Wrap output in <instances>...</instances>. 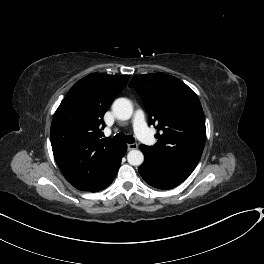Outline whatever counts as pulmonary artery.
<instances>
[{
  "instance_id": "pulmonary-artery-1",
  "label": "pulmonary artery",
  "mask_w": 264,
  "mask_h": 264,
  "mask_svg": "<svg viewBox=\"0 0 264 264\" xmlns=\"http://www.w3.org/2000/svg\"><path fill=\"white\" fill-rule=\"evenodd\" d=\"M132 125H133L136 135L139 137V139L143 143L147 145L152 144L153 135L146 127L144 114L141 110L135 111L133 118H132Z\"/></svg>"
}]
</instances>
